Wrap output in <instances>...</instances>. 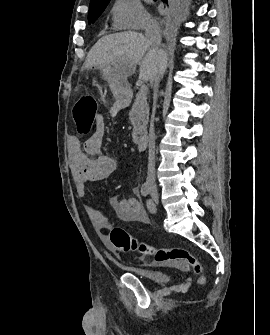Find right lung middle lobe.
Here are the masks:
<instances>
[{
  "label": "right lung middle lobe",
  "instance_id": "right-lung-middle-lobe-1",
  "mask_svg": "<svg viewBox=\"0 0 270 335\" xmlns=\"http://www.w3.org/2000/svg\"><path fill=\"white\" fill-rule=\"evenodd\" d=\"M189 4L190 2H187V0L176 2L178 11H182ZM107 5L108 4L106 3V4L91 5L89 7V12H88L89 24L94 23L98 19V17L103 13Z\"/></svg>",
  "mask_w": 270,
  "mask_h": 335
}]
</instances>
